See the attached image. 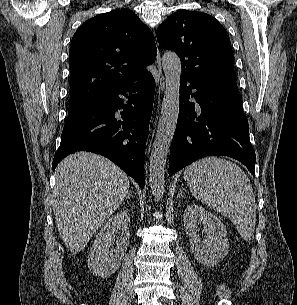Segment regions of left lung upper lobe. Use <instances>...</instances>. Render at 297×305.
<instances>
[{
	"instance_id": "obj_1",
	"label": "left lung upper lobe",
	"mask_w": 297,
	"mask_h": 305,
	"mask_svg": "<svg viewBox=\"0 0 297 305\" xmlns=\"http://www.w3.org/2000/svg\"><path fill=\"white\" fill-rule=\"evenodd\" d=\"M157 40L177 53L182 75L197 82L235 79L230 38L214 17L179 10L158 27Z\"/></svg>"
}]
</instances>
